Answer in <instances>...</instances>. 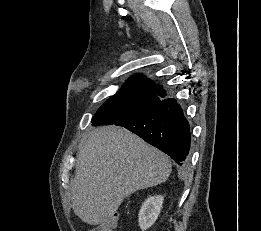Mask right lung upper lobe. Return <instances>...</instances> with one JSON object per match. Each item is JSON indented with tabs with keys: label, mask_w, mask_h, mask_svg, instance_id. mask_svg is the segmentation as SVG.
Segmentation results:
<instances>
[{
	"label": "right lung upper lobe",
	"mask_w": 261,
	"mask_h": 231,
	"mask_svg": "<svg viewBox=\"0 0 261 231\" xmlns=\"http://www.w3.org/2000/svg\"><path fill=\"white\" fill-rule=\"evenodd\" d=\"M122 88H138L147 91L151 94L157 95L159 97H165L166 92L160 86L156 85L151 80H148L143 75L132 76Z\"/></svg>",
	"instance_id": "obj_1"
}]
</instances>
